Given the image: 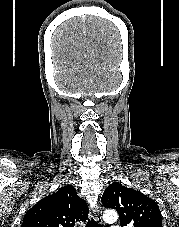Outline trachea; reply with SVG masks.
Listing matches in <instances>:
<instances>
[{
  "instance_id": "trachea-1",
  "label": "trachea",
  "mask_w": 179,
  "mask_h": 227,
  "mask_svg": "<svg viewBox=\"0 0 179 227\" xmlns=\"http://www.w3.org/2000/svg\"><path fill=\"white\" fill-rule=\"evenodd\" d=\"M86 227H101L94 219L88 220Z\"/></svg>"
}]
</instances>
